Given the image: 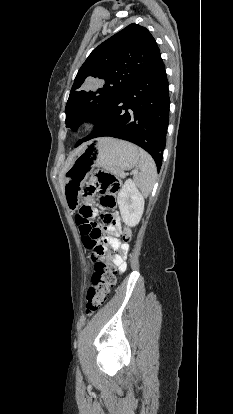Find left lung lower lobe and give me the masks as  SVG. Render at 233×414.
<instances>
[{
    "label": "left lung lower lobe",
    "instance_id": "obj_1",
    "mask_svg": "<svg viewBox=\"0 0 233 414\" xmlns=\"http://www.w3.org/2000/svg\"><path fill=\"white\" fill-rule=\"evenodd\" d=\"M93 123L94 131L76 147L104 136L127 140L146 150L160 170L169 123L168 80L161 54Z\"/></svg>",
    "mask_w": 233,
    "mask_h": 414
}]
</instances>
